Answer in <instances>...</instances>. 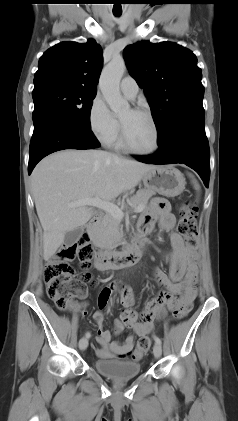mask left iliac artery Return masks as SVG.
<instances>
[{"label":"left iliac artery","instance_id":"44dca946","mask_svg":"<svg viewBox=\"0 0 238 421\" xmlns=\"http://www.w3.org/2000/svg\"><path fill=\"white\" fill-rule=\"evenodd\" d=\"M153 337H154L155 342L159 343L161 345V343H162L161 339L159 337L155 336V335Z\"/></svg>","mask_w":238,"mask_h":421}]
</instances>
